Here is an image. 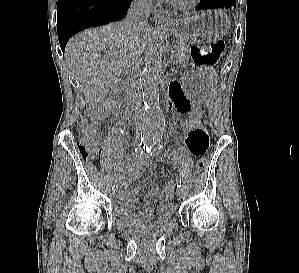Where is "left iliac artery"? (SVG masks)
<instances>
[{
    "label": "left iliac artery",
    "mask_w": 299,
    "mask_h": 273,
    "mask_svg": "<svg viewBox=\"0 0 299 273\" xmlns=\"http://www.w3.org/2000/svg\"><path fill=\"white\" fill-rule=\"evenodd\" d=\"M158 142H159V139H156V140L153 141V142H149V143L147 144V146H146V151H147V152H150L151 149H152V146L155 145V144H157ZM176 183H177L178 188H180V187L182 186L181 178L177 177V178H176Z\"/></svg>",
    "instance_id": "left-iliac-artery-1"
}]
</instances>
